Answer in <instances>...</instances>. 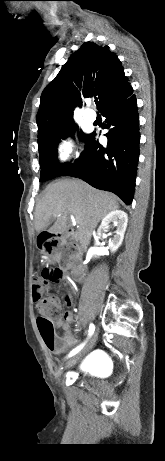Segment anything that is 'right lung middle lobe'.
I'll return each instance as SVG.
<instances>
[{
    "label": "right lung middle lobe",
    "instance_id": "right-lung-middle-lobe-1",
    "mask_svg": "<svg viewBox=\"0 0 165 461\" xmlns=\"http://www.w3.org/2000/svg\"><path fill=\"white\" fill-rule=\"evenodd\" d=\"M75 130L78 131V137L84 141L87 140L88 134L79 132L74 121H70L59 128L47 132L42 138L38 139V148L40 155V182H45L57 177L60 172L68 165L57 163V145L60 139H65L68 136H74Z\"/></svg>",
    "mask_w": 165,
    "mask_h": 461
}]
</instances>
